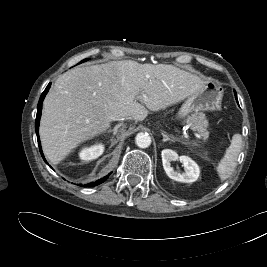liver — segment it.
I'll return each instance as SVG.
<instances>
[{
  "label": "liver",
  "instance_id": "obj_1",
  "mask_svg": "<svg viewBox=\"0 0 267 267\" xmlns=\"http://www.w3.org/2000/svg\"><path fill=\"white\" fill-rule=\"evenodd\" d=\"M207 83L172 65L132 60L73 68L57 78L44 99L39 128L43 151L58 164L116 118L143 121L148 109H165Z\"/></svg>",
  "mask_w": 267,
  "mask_h": 267
}]
</instances>
